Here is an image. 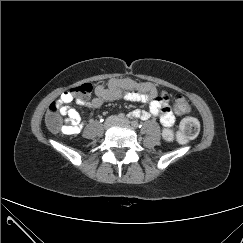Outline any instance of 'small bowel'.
<instances>
[{
	"label": "small bowel",
	"mask_w": 243,
	"mask_h": 243,
	"mask_svg": "<svg viewBox=\"0 0 243 243\" xmlns=\"http://www.w3.org/2000/svg\"><path fill=\"white\" fill-rule=\"evenodd\" d=\"M125 99L131 102L147 103L149 110L135 109L129 113L131 118L148 120L152 116L159 117L165 128L175 123V117L169 107V97L166 93H159L157 88L149 82H139L130 78H112L105 86L99 85L95 90V97L91 100L76 98L70 91L60 95L56 102L60 105V114L64 117L62 133L65 135L79 134L83 128L79 113L69 106L74 100L76 104L90 108H98L104 102Z\"/></svg>",
	"instance_id": "obj_1"
}]
</instances>
